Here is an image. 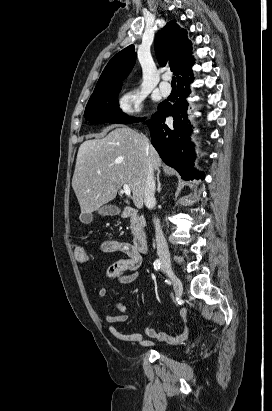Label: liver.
<instances>
[{
  "label": "liver",
  "mask_w": 272,
  "mask_h": 411,
  "mask_svg": "<svg viewBox=\"0 0 272 411\" xmlns=\"http://www.w3.org/2000/svg\"><path fill=\"white\" fill-rule=\"evenodd\" d=\"M161 158L148 139L129 127L102 139L83 142L78 150L72 187L82 214H91L113 200L124 183L141 208L149 164L160 172Z\"/></svg>",
  "instance_id": "liver-1"
}]
</instances>
